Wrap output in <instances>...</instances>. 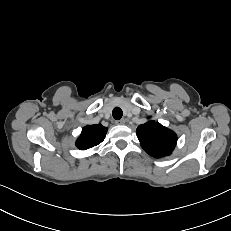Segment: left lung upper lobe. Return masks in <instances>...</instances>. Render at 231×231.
<instances>
[{"mask_svg": "<svg viewBox=\"0 0 231 231\" xmlns=\"http://www.w3.org/2000/svg\"><path fill=\"white\" fill-rule=\"evenodd\" d=\"M136 134L142 148L156 158L170 155L177 143V136L172 130L154 121L139 125Z\"/></svg>", "mask_w": 231, "mask_h": 231, "instance_id": "obj_1", "label": "left lung upper lobe"}]
</instances>
